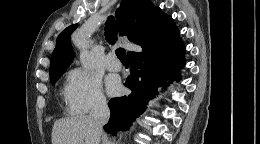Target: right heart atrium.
Wrapping results in <instances>:
<instances>
[{
	"instance_id": "obj_1",
	"label": "right heart atrium",
	"mask_w": 260,
	"mask_h": 144,
	"mask_svg": "<svg viewBox=\"0 0 260 144\" xmlns=\"http://www.w3.org/2000/svg\"><path fill=\"white\" fill-rule=\"evenodd\" d=\"M64 98L71 112L84 114L106 105L100 79L82 68L69 71Z\"/></svg>"
}]
</instances>
